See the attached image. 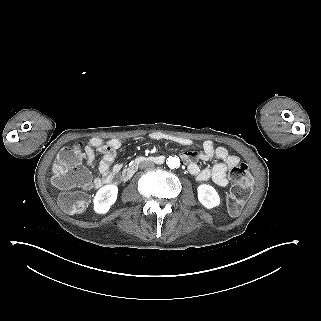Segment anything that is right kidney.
Segmentation results:
<instances>
[{
    "mask_svg": "<svg viewBox=\"0 0 321 321\" xmlns=\"http://www.w3.org/2000/svg\"><path fill=\"white\" fill-rule=\"evenodd\" d=\"M118 188L116 185H105L96 193L93 203L96 213H107L117 199Z\"/></svg>",
    "mask_w": 321,
    "mask_h": 321,
    "instance_id": "obj_1",
    "label": "right kidney"
}]
</instances>
